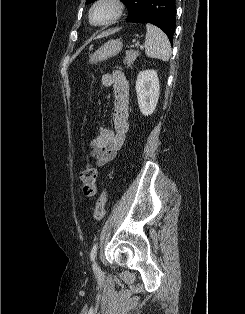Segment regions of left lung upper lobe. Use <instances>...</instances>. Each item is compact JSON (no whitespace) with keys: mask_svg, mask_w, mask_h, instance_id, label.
<instances>
[{"mask_svg":"<svg viewBox=\"0 0 245 314\" xmlns=\"http://www.w3.org/2000/svg\"><path fill=\"white\" fill-rule=\"evenodd\" d=\"M95 0H86V4H90ZM128 9V17L134 16L141 8L144 0H121Z\"/></svg>","mask_w":245,"mask_h":314,"instance_id":"5c2ea615","label":"left lung upper lobe"}]
</instances>
